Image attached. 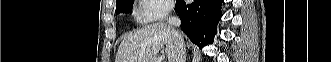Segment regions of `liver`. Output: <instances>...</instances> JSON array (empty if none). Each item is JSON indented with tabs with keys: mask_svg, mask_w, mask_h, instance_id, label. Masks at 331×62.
Instances as JSON below:
<instances>
[{
	"mask_svg": "<svg viewBox=\"0 0 331 62\" xmlns=\"http://www.w3.org/2000/svg\"><path fill=\"white\" fill-rule=\"evenodd\" d=\"M174 42L172 29L166 24L146 25L123 39L115 62H157V53L164 46L168 62H175Z\"/></svg>",
	"mask_w": 331,
	"mask_h": 62,
	"instance_id": "liver-1",
	"label": "liver"
}]
</instances>
